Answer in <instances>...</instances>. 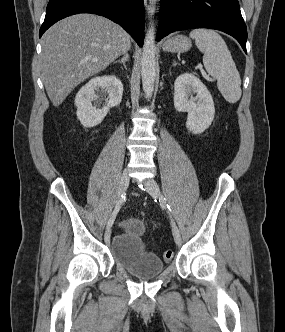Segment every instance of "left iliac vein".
Returning a JSON list of instances; mask_svg holds the SVG:
<instances>
[{
    "instance_id": "4c4485c4",
    "label": "left iliac vein",
    "mask_w": 285,
    "mask_h": 332,
    "mask_svg": "<svg viewBox=\"0 0 285 332\" xmlns=\"http://www.w3.org/2000/svg\"><path fill=\"white\" fill-rule=\"evenodd\" d=\"M143 185L146 188L147 192L152 197H154V198L160 197V195H161L160 188L154 179H152V178L146 179L143 182ZM172 232H173V237H174L175 243L178 246H180L181 242H182L181 234H180L179 229L177 228V226L174 223H172Z\"/></svg>"
}]
</instances>
